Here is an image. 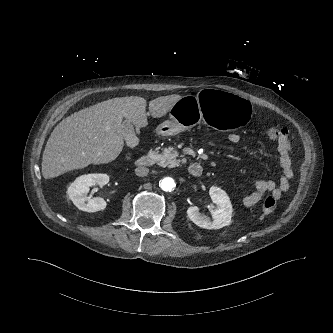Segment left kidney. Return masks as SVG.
I'll use <instances>...</instances> for the list:
<instances>
[{"label": "left kidney", "mask_w": 333, "mask_h": 333, "mask_svg": "<svg viewBox=\"0 0 333 333\" xmlns=\"http://www.w3.org/2000/svg\"><path fill=\"white\" fill-rule=\"evenodd\" d=\"M209 194L212 201L218 205V208L212 212L213 220L204 218L196 206L188 208L187 215L189 219L204 229H220L230 225L233 209L227 193L219 187L212 186Z\"/></svg>", "instance_id": "1"}]
</instances>
